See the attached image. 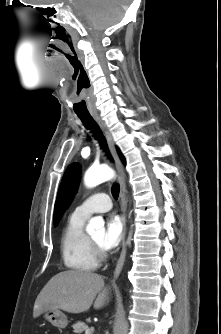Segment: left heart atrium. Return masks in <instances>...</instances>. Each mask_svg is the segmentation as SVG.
I'll return each mask as SVG.
<instances>
[{
	"instance_id": "39dd6f15",
	"label": "left heart atrium",
	"mask_w": 221,
	"mask_h": 334,
	"mask_svg": "<svg viewBox=\"0 0 221 334\" xmlns=\"http://www.w3.org/2000/svg\"><path fill=\"white\" fill-rule=\"evenodd\" d=\"M123 238V224L119 217L110 216L106 221V229L102 239V247L111 250L118 246Z\"/></svg>"
}]
</instances>
